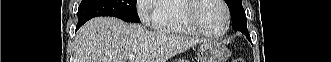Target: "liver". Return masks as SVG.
<instances>
[{
	"mask_svg": "<svg viewBox=\"0 0 331 62\" xmlns=\"http://www.w3.org/2000/svg\"><path fill=\"white\" fill-rule=\"evenodd\" d=\"M198 38L168 31H149L113 17H97L84 24L75 38L77 62H166L200 43Z\"/></svg>",
	"mask_w": 331,
	"mask_h": 62,
	"instance_id": "1",
	"label": "liver"
}]
</instances>
